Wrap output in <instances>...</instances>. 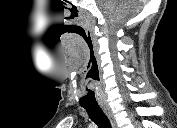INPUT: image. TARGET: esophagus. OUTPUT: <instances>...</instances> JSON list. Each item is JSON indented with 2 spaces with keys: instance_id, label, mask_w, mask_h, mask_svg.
Instances as JSON below:
<instances>
[{
  "instance_id": "obj_1",
  "label": "esophagus",
  "mask_w": 177,
  "mask_h": 128,
  "mask_svg": "<svg viewBox=\"0 0 177 128\" xmlns=\"http://www.w3.org/2000/svg\"><path fill=\"white\" fill-rule=\"evenodd\" d=\"M101 109L103 110V112L105 113V115L108 117L112 128H118L115 117L112 113L111 108L108 105H101Z\"/></svg>"
}]
</instances>
